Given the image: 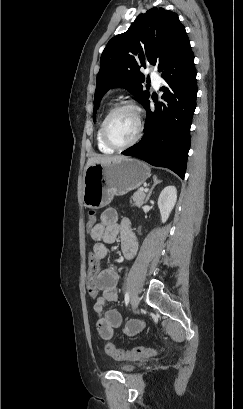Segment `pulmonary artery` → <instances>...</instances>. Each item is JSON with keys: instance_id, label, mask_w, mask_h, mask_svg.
Listing matches in <instances>:
<instances>
[{"instance_id": "pulmonary-artery-1", "label": "pulmonary artery", "mask_w": 243, "mask_h": 409, "mask_svg": "<svg viewBox=\"0 0 243 409\" xmlns=\"http://www.w3.org/2000/svg\"><path fill=\"white\" fill-rule=\"evenodd\" d=\"M151 81L153 82L155 88H158L162 82V78L158 73L153 72L151 73Z\"/></svg>"}]
</instances>
